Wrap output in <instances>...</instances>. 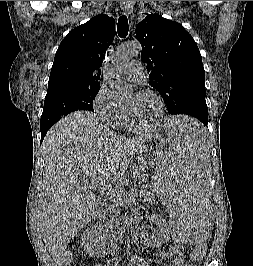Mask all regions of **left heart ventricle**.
Returning a JSON list of instances; mask_svg holds the SVG:
<instances>
[{
    "label": "left heart ventricle",
    "mask_w": 253,
    "mask_h": 266,
    "mask_svg": "<svg viewBox=\"0 0 253 266\" xmlns=\"http://www.w3.org/2000/svg\"><path fill=\"white\" fill-rule=\"evenodd\" d=\"M125 108L139 125L152 123L159 112L156 99L150 95L130 94L125 102Z\"/></svg>",
    "instance_id": "b2bd125f"
}]
</instances>
